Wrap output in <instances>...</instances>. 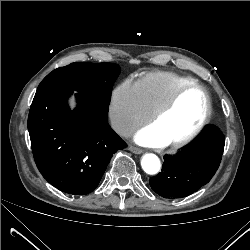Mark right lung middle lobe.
Wrapping results in <instances>:
<instances>
[{
	"label": "right lung middle lobe",
	"mask_w": 250,
	"mask_h": 250,
	"mask_svg": "<svg viewBox=\"0 0 250 250\" xmlns=\"http://www.w3.org/2000/svg\"><path fill=\"white\" fill-rule=\"evenodd\" d=\"M119 73L120 67L113 63H72L48 74L37 91L64 86L109 104L112 86Z\"/></svg>",
	"instance_id": "right-lung-middle-lobe-1"
}]
</instances>
